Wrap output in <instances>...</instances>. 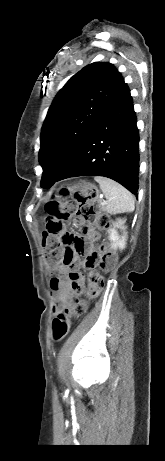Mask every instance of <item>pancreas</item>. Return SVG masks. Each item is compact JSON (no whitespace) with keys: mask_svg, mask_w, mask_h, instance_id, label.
<instances>
[{"mask_svg":"<svg viewBox=\"0 0 165 461\" xmlns=\"http://www.w3.org/2000/svg\"><path fill=\"white\" fill-rule=\"evenodd\" d=\"M99 208H100V210H104V207L101 204L99 205Z\"/></svg>","mask_w":165,"mask_h":461,"instance_id":"pancreas-1","label":"pancreas"}]
</instances>
